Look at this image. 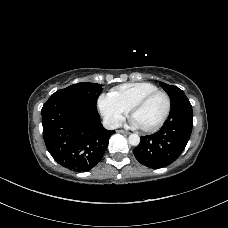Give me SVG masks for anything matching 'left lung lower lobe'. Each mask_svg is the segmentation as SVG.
Returning a JSON list of instances; mask_svg holds the SVG:
<instances>
[{
  "label": "left lung lower lobe",
  "instance_id": "1",
  "mask_svg": "<svg viewBox=\"0 0 228 228\" xmlns=\"http://www.w3.org/2000/svg\"><path fill=\"white\" fill-rule=\"evenodd\" d=\"M193 126L192 106L188 99L172 107L161 130L141 137L133 149L135 158L143 165L157 169L173 163L184 151Z\"/></svg>",
  "mask_w": 228,
  "mask_h": 228
}]
</instances>
